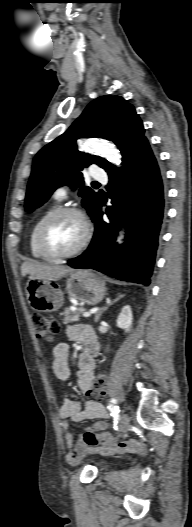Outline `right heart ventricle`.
I'll return each instance as SVG.
<instances>
[{
    "mask_svg": "<svg viewBox=\"0 0 192 527\" xmlns=\"http://www.w3.org/2000/svg\"><path fill=\"white\" fill-rule=\"evenodd\" d=\"M55 209H56V203H53L50 206H48L47 208H45L35 218L32 226H31V229H30V232H29L28 244H29V249H30V252H31L32 256L37 258V259H46L41 254V252L39 251L38 246H37V232H38L39 226L41 225L43 220Z\"/></svg>",
    "mask_w": 192,
    "mask_h": 527,
    "instance_id": "1",
    "label": "right heart ventricle"
}]
</instances>
